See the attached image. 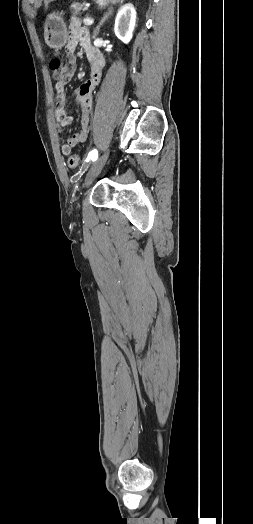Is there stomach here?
Here are the masks:
<instances>
[{
	"mask_svg": "<svg viewBox=\"0 0 253 524\" xmlns=\"http://www.w3.org/2000/svg\"><path fill=\"white\" fill-rule=\"evenodd\" d=\"M100 6L116 3L121 0H95ZM44 38L47 45L53 49H61L67 42V28L62 17L57 13L48 15L44 25Z\"/></svg>",
	"mask_w": 253,
	"mask_h": 524,
	"instance_id": "stomach-1",
	"label": "stomach"
}]
</instances>
